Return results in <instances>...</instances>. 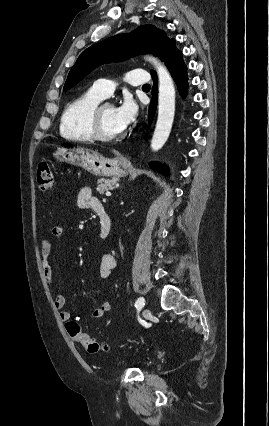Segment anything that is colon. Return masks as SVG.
Listing matches in <instances>:
<instances>
[{
    "mask_svg": "<svg viewBox=\"0 0 269 426\" xmlns=\"http://www.w3.org/2000/svg\"><path fill=\"white\" fill-rule=\"evenodd\" d=\"M37 182L38 186L43 191H50L54 185L53 173L47 160L42 159L37 164ZM66 329L69 335L79 344H81L87 352L97 354L107 350L105 344L99 343L91 339L83 332L76 321L69 320L66 323Z\"/></svg>",
    "mask_w": 269,
    "mask_h": 426,
    "instance_id": "colon-1",
    "label": "colon"
}]
</instances>
